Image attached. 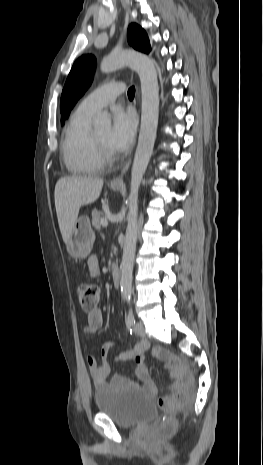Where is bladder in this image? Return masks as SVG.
I'll list each match as a JSON object with an SVG mask.
<instances>
[{
  "label": "bladder",
  "instance_id": "bladder-1",
  "mask_svg": "<svg viewBox=\"0 0 263 465\" xmlns=\"http://www.w3.org/2000/svg\"><path fill=\"white\" fill-rule=\"evenodd\" d=\"M94 400L99 413L125 428L147 423L157 415L154 401L134 388L109 386L97 391Z\"/></svg>",
  "mask_w": 263,
  "mask_h": 465
}]
</instances>
